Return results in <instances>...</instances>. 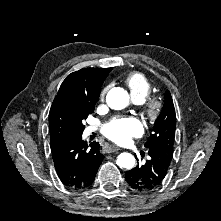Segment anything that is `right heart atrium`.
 Masks as SVG:
<instances>
[{
	"label": "right heart atrium",
	"mask_w": 221,
	"mask_h": 221,
	"mask_svg": "<svg viewBox=\"0 0 221 221\" xmlns=\"http://www.w3.org/2000/svg\"><path fill=\"white\" fill-rule=\"evenodd\" d=\"M108 89H109V86H106V87L101 89V91L99 93V100L102 101L105 98V95H106Z\"/></svg>",
	"instance_id": "1"
}]
</instances>
